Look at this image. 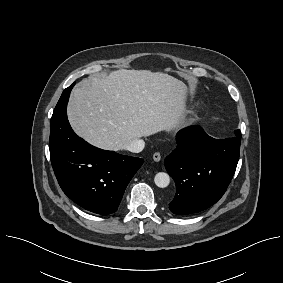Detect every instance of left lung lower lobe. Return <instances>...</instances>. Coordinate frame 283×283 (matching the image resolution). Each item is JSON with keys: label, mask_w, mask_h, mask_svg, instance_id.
<instances>
[{"label": "left lung lower lobe", "mask_w": 283, "mask_h": 283, "mask_svg": "<svg viewBox=\"0 0 283 283\" xmlns=\"http://www.w3.org/2000/svg\"><path fill=\"white\" fill-rule=\"evenodd\" d=\"M176 150L165 159L175 180L171 212L189 215L203 211L225 193L239 160L241 137L214 139L200 127L181 131Z\"/></svg>", "instance_id": "0a47b994"}]
</instances>
